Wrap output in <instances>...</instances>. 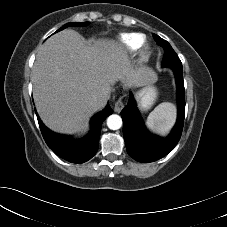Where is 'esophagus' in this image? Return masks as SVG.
I'll return each instance as SVG.
<instances>
[{"label":"esophagus","instance_id":"34e87169","mask_svg":"<svg viewBox=\"0 0 227 227\" xmlns=\"http://www.w3.org/2000/svg\"><path fill=\"white\" fill-rule=\"evenodd\" d=\"M123 107H124V104H123L122 98H119L114 104V111L116 113H120Z\"/></svg>","mask_w":227,"mask_h":227}]
</instances>
